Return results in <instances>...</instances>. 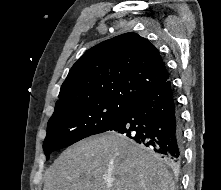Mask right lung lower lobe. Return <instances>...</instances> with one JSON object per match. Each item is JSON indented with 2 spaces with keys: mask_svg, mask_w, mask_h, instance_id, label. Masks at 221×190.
<instances>
[{
  "mask_svg": "<svg viewBox=\"0 0 221 190\" xmlns=\"http://www.w3.org/2000/svg\"><path fill=\"white\" fill-rule=\"evenodd\" d=\"M109 131L145 145L170 166L177 167L183 157V134L171 81L167 80L129 103L123 117Z\"/></svg>",
  "mask_w": 221,
  "mask_h": 190,
  "instance_id": "right-lung-lower-lobe-1",
  "label": "right lung lower lobe"
}]
</instances>
